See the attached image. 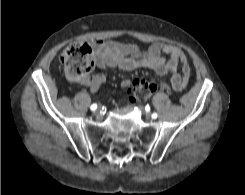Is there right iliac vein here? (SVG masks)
<instances>
[{
    "label": "right iliac vein",
    "mask_w": 245,
    "mask_h": 195,
    "mask_svg": "<svg viewBox=\"0 0 245 195\" xmlns=\"http://www.w3.org/2000/svg\"><path fill=\"white\" fill-rule=\"evenodd\" d=\"M96 115H99L100 114V110L99 109H97V110H95V112H94Z\"/></svg>",
    "instance_id": "right-iliac-vein-1"
}]
</instances>
